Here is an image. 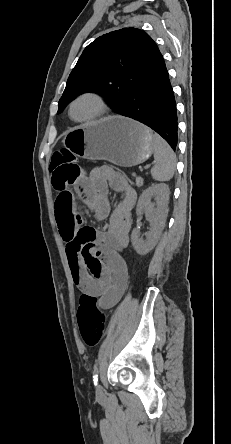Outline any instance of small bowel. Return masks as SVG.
<instances>
[{
    "mask_svg": "<svg viewBox=\"0 0 231 444\" xmlns=\"http://www.w3.org/2000/svg\"><path fill=\"white\" fill-rule=\"evenodd\" d=\"M56 222L66 245L75 285L94 297L103 309L114 306L124 294L129 274L121 251L129 244L131 210L136 193L126 178L109 166L95 168L89 177L76 181V193L97 220L109 218L106 230L84 236L80 229L75 197L69 186L57 187ZM109 189L122 193L111 212Z\"/></svg>",
    "mask_w": 231,
    "mask_h": 444,
    "instance_id": "c3829d8e",
    "label": "small bowel"
}]
</instances>
